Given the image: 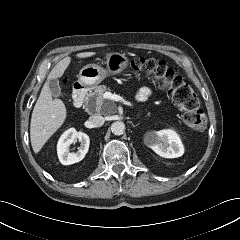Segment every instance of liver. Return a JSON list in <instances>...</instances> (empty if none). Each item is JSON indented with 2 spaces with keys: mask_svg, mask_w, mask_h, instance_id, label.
Instances as JSON below:
<instances>
[{
  "mask_svg": "<svg viewBox=\"0 0 240 240\" xmlns=\"http://www.w3.org/2000/svg\"><path fill=\"white\" fill-rule=\"evenodd\" d=\"M95 52L78 53V58H87ZM71 62V57L60 60L47 77L38 100L34 106L30 123V140L33 151L39 153L48 139L62 126L67 116L64 103L53 99L49 89V80L62 77Z\"/></svg>",
  "mask_w": 240,
  "mask_h": 240,
  "instance_id": "obj_1",
  "label": "liver"
}]
</instances>
